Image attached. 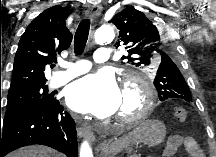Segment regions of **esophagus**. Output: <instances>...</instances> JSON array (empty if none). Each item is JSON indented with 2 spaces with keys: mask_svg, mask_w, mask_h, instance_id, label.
<instances>
[{
  "mask_svg": "<svg viewBox=\"0 0 216 157\" xmlns=\"http://www.w3.org/2000/svg\"><path fill=\"white\" fill-rule=\"evenodd\" d=\"M102 6L100 4L94 5L86 11V16L89 18H96L101 14ZM77 133L80 137L87 136L92 142H95V136L85 127H77Z\"/></svg>",
  "mask_w": 216,
  "mask_h": 157,
  "instance_id": "esophagus-1",
  "label": "esophagus"
}]
</instances>
